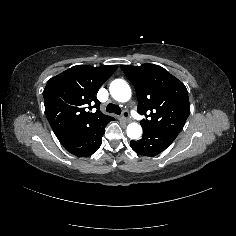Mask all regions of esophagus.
<instances>
[{"label": "esophagus", "instance_id": "obj_1", "mask_svg": "<svg viewBox=\"0 0 236 236\" xmlns=\"http://www.w3.org/2000/svg\"><path fill=\"white\" fill-rule=\"evenodd\" d=\"M129 113L127 110H124L123 111V114H122V118L125 120V121H129V117H128Z\"/></svg>", "mask_w": 236, "mask_h": 236}]
</instances>
